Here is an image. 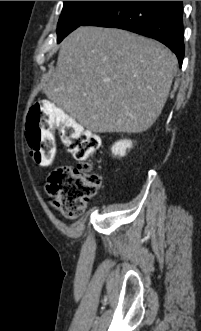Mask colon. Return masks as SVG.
<instances>
[{"label":"colon","instance_id":"1","mask_svg":"<svg viewBox=\"0 0 201 331\" xmlns=\"http://www.w3.org/2000/svg\"><path fill=\"white\" fill-rule=\"evenodd\" d=\"M55 130L78 164L55 168L48 177L46 189L65 217L77 218L101 187V175L94 172L88 162L98 150L100 140L51 102H38L28 113L26 138L30 154L39 165H49L55 158Z\"/></svg>","mask_w":201,"mask_h":331}]
</instances>
